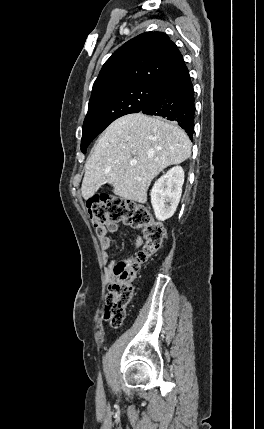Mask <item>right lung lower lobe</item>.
I'll use <instances>...</instances> for the list:
<instances>
[{"label": "right lung lower lobe", "instance_id": "1", "mask_svg": "<svg viewBox=\"0 0 264 429\" xmlns=\"http://www.w3.org/2000/svg\"><path fill=\"white\" fill-rule=\"evenodd\" d=\"M194 90L184 60L158 85L140 111L177 121L190 138L194 132Z\"/></svg>", "mask_w": 264, "mask_h": 429}]
</instances>
